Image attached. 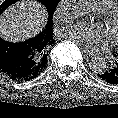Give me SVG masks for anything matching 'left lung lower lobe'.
Here are the masks:
<instances>
[{"label":"left lung lower lobe","mask_w":118,"mask_h":118,"mask_svg":"<svg viewBox=\"0 0 118 118\" xmlns=\"http://www.w3.org/2000/svg\"><path fill=\"white\" fill-rule=\"evenodd\" d=\"M98 76L110 84H118V52L114 54L105 72L99 73Z\"/></svg>","instance_id":"obj_1"}]
</instances>
